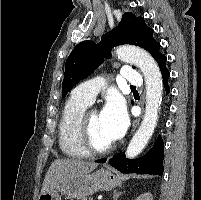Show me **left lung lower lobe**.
<instances>
[{
  "mask_svg": "<svg viewBox=\"0 0 201 200\" xmlns=\"http://www.w3.org/2000/svg\"><path fill=\"white\" fill-rule=\"evenodd\" d=\"M160 67L166 94H169L168 79L170 76L166 68V56L160 54L155 59ZM164 148L161 136H158L151 150L141 158L127 159L124 153H119L111 158L108 163L122 173H137L150 175H163ZM98 163H105L106 159L97 160Z\"/></svg>",
  "mask_w": 201,
  "mask_h": 200,
  "instance_id": "0a47b994",
  "label": "left lung lower lobe"
}]
</instances>
